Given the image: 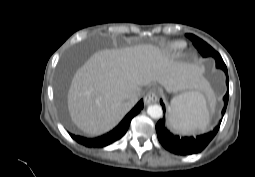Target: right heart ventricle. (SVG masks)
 I'll return each instance as SVG.
<instances>
[{
    "label": "right heart ventricle",
    "mask_w": 255,
    "mask_h": 177,
    "mask_svg": "<svg viewBox=\"0 0 255 177\" xmlns=\"http://www.w3.org/2000/svg\"><path fill=\"white\" fill-rule=\"evenodd\" d=\"M186 44L183 41H173L168 44L167 50L171 54H176L185 48Z\"/></svg>",
    "instance_id": "obj_1"
}]
</instances>
